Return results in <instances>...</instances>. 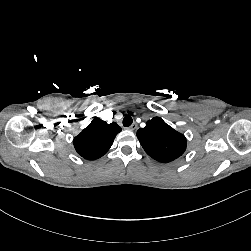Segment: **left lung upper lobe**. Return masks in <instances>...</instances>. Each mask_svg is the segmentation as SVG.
Listing matches in <instances>:
<instances>
[{
	"label": "left lung upper lobe",
	"mask_w": 251,
	"mask_h": 251,
	"mask_svg": "<svg viewBox=\"0 0 251 251\" xmlns=\"http://www.w3.org/2000/svg\"><path fill=\"white\" fill-rule=\"evenodd\" d=\"M137 137L145 152L159 162L177 159L187 146L185 136L159 117L147 121L146 126L137 131Z\"/></svg>",
	"instance_id": "5c2ea615"
}]
</instances>
